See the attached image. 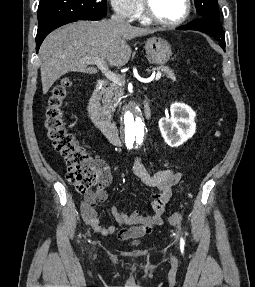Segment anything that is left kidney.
Here are the masks:
<instances>
[{"label": "left kidney", "instance_id": "5707ae66", "mask_svg": "<svg viewBox=\"0 0 255 287\" xmlns=\"http://www.w3.org/2000/svg\"><path fill=\"white\" fill-rule=\"evenodd\" d=\"M170 112L171 118L159 120V128L166 144L178 147L195 134L196 114L190 106L179 104V102L171 104Z\"/></svg>", "mask_w": 255, "mask_h": 287}]
</instances>
